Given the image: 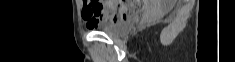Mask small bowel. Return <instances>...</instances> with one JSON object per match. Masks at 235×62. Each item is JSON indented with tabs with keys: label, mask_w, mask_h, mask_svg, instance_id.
Instances as JSON below:
<instances>
[{
	"label": "small bowel",
	"mask_w": 235,
	"mask_h": 62,
	"mask_svg": "<svg viewBox=\"0 0 235 62\" xmlns=\"http://www.w3.org/2000/svg\"><path fill=\"white\" fill-rule=\"evenodd\" d=\"M114 2L107 1L104 5L95 7L90 3H83L82 18L86 23L88 29H94L102 22H114ZM125 5L133 10L136 6V2H128ZM123 19V18H122Z\"/></svg>",
	"instance_id": "c3829d8e"
}]
</instances>
